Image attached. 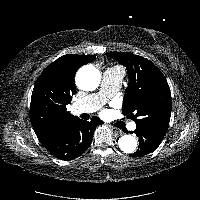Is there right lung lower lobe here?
Masks as SVG:
<instances>
[{"label": "right lung lower lobe", "mask_w": 200, "mask_h": 200, "mask_svg": "<svg viewBox=\"0 0 200 200\" xmlns=\"http://www.w3.org/2000/svg\"><path fill=\"white\" fill-rule=\"evenodd\" d=\"M103 122L96 116L90 121L77 117L55 126L44 138L43 146L61 160H71L83 154L90 146L93 132Z\"/></svg>", "instance_id": "98d812e1"}]
</instances>
